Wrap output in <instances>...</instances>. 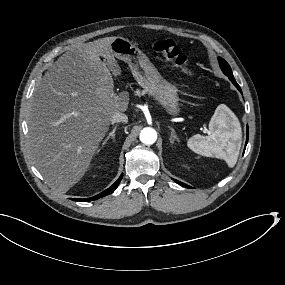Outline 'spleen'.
I'll return each instance as SVG.
<instances>
[{
    "label": "spleen",
    "instance_id": "3e777b00",
    "mask_svg": "<svg viewBox=\"0 0 285 285\" xmlns=\"http://www.w3.org/2000/svg\"><path fill=\"white\" fill-rule=\"evenodd\" d=\"M219 125H223L227 129V119L224 114L218 115L215 113L209 122L211 135H193L189 138L187 146L197 154L222 158L228 163L229 167H234L239 155V151L236 149L240 147V127H237L234 131L228 129L221 131L218 129ZM233 150L236 151L232 152Z\"/></svg>",
    "mask_w": 285,
    "mask_h": 285
}]
</instances>
